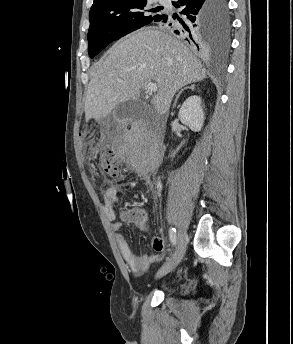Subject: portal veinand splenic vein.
I'll list each match as a JSON object with an SVG mask.
<instances>
[{"instance_id":"portal-vein-and-splenic-vein-1","label":"portal vein and splenic vein","mask_w":293,"mask_h":344,"mask_svg":"<svg viewBox=\"0 0 293 344\" xmlns=\"http://www.w3.org/2000/svg\"><path fill=\"white\" fill-rule=\"evenodd\" d=\"M146 88H147L149 93L156 92L158 89L156 83H153V82L148 83Z\"/></svg>"}]
</instances>
